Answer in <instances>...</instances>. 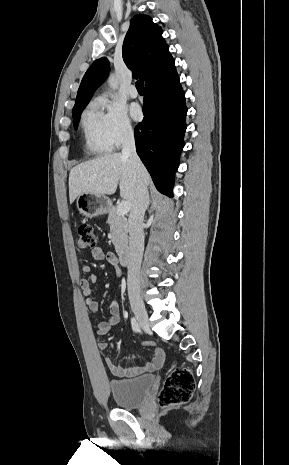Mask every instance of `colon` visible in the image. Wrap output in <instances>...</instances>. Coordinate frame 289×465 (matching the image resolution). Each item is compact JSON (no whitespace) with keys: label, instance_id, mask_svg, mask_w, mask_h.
I'll use <instances>...</instances> for the list:
<instances>
[{"label":"colon","instance_id":"obj_1","mask_svg":"<svg viewBox=\"0 0 289 465\" xmlns=\"http://www.w3.org/2000/svg\"><path fill=\"white\" fill-rule=\"evenodd\" d=\"M97 236L91 225L84 224L77 229V245L80 249L95 248ZM195 380L190 370L184 367L174 369L165 379L158 394L161 407H173L188 402L194 392Z\"/></svg>","mask_w":289,"mask_h":465}]
</instances>
